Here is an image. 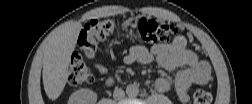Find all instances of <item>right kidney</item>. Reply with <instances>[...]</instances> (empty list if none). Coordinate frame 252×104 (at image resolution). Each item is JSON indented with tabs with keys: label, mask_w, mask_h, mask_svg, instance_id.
<instances>
[{
	"label": "right kidney",
	"mask_w": 252,
	"mask_h": 104,
	"mask_svg": "<svg viewBox=\"0 0 252 104\" xmlns=\"http://www.w3.org/2000/svg\"><path fill=\"white\" fill-rule=\"evenodd\" d=\"M97 95L89 89H80L75 91L69 97L70 104H94L96 103Z\"/></svg>",
	"instance_id": "obj_1"
}]
</instances>
